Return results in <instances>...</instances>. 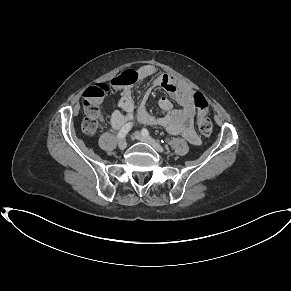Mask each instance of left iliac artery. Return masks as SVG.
Segmentation results:
<instances>
[{"instance_id": "left-iliac-artery-1", "label": "left iliac artery", "mask_w": 291, "mask_h": 291, "mask_svg": "<svg viewBox=\"0 0 291 291\" xmlns=\"http://www.w3.org/2000/svg\"><path fill=\"white\" fill-rule=\"evenodd\" d=\"M141 132H142L143 135L150 137V133L146 128H143Z\"/></svg>"}]
</instances>
